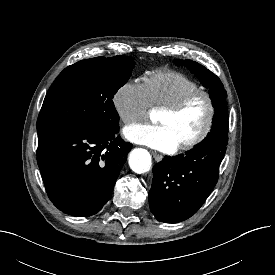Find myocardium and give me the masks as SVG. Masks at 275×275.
Returning <instances> with one entry per match:
<instances>
[{"label":"myocardium","mask_w":275,"mask_h":275,"mask_svg":"<svg viewBox=\"0 0 275 275\" xmlns=\"http://www.w3.org/2000/svg\"><path fill=\"white\" fill-rule=\"evenodd\" d=\"M198 97H203L207 103L208 112H207L206 122L202 130L195 137L178 145L177 148L179 150L190 149L200 144L208 136V134L210 133L213 127L214 120H215V115H216L215 101L209 92L198 89L186 94L177 102L160 108V111H164L170 114H178L181 111H183L194 99Z\"/></svg>","instance_id":"1"}]
</instances>
